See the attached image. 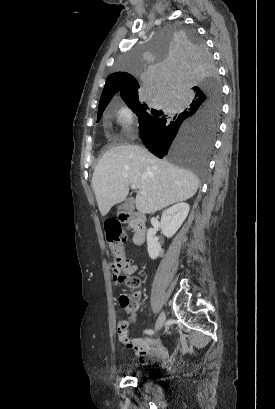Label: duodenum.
I'll return each instance as SVG.
<instances>
[{"mask_svg":"<svg viewBox=\"0 0 275 409\" xmlns=\"http://www.w3.org/2000/svg\"><path fill=\"white\" fill-rule=\"evenodd\" d=\"M120 220L124 223H128L133 228V240L134 243L140 245L144 242L146 235V218L142 213L131 212L121 213Z\"/></svg>","mask_w":275,"mask_h":409,"instance_id":"obj_1","label":"duodenum"}]
</instances>
